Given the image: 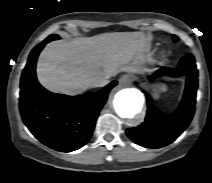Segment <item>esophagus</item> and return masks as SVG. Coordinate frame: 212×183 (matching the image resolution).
Listing matches in <instances>:
<instances>
[{
    "instance_id": "34e87169",
    "label": "esophagus",
    "mask_w": 212,
    "mask_h": 183,
    "mask_svg": "<svg viewBox=\"0 0 212 183\" xmlns=\"http://www.w3.org/2000/svg\"><path fill=\"white\" fill-rule=\"evenodd\" d=\"M131 82V78L129 75H123L120 79H119V85L120 86H126Z\"/></svg>"
}]
</instances>
